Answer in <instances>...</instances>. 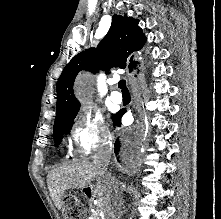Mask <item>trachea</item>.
<instances>
[{"instance_id": "1", "label": "trachea", "mask_w": 221, "mask_h": 219, "mask_svg": "<svg viewBox=\"0 0 221 219\" xmlns=\"http://www.w3.org/2000/svg\"><path fill=\"white\" fill-rule=\"evenodd\" d=\"M118 87H119L122 91H128V88L126 87V81H125V80L119 81Z\"/></svg>"}]
</instances>
